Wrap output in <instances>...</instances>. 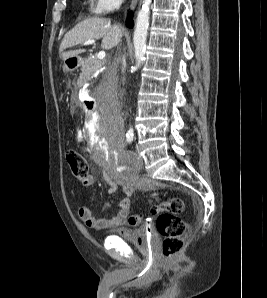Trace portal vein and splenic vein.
Masks as SVG:
<instances>
[{
    "instance_id": "1",
    "label": "portal vein and splenic vein",
    "mask_w": 267,
    "mask_h": 298,
    "mask_svg": "<svg viewBox=\"0 0 267 298\" xmlns=\"http://www.w3.org/2000/svg\"><path fill=\"white\" fill-rule=\"evenodd\" d=\"M93 43H95V40H94V39H92V40H87V41H85L83 44H84V45H90V44H93ZM105 56H106V54H105L104 51H100V52L97 54L98 59H104Z\"/></svg>"
}]
</instances>
